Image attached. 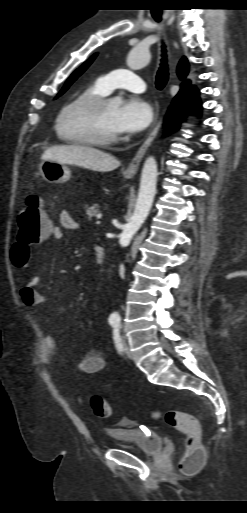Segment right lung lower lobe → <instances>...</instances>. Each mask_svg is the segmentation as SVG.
Returning <instances> with one entry per match:
<instances>
[{
    "instance_id": "obj_1",
    "label": "right lung lower lobe",
    "mask_w": 247,
    "mask_h": 513,
    "mask_svg": "<svg viewBox=\"0 0 247 513\" xmlns=\"http://www.w3.org/2000/svg\"><path fill=\"white\" fill-rule=\"evenodd\" d=\"M200 101L198 91L195 87L181 90L174 98V101L167 114L168 131L178 128L183 117L190 113L200 114Z\"/></svg>"
}]
</instances>
